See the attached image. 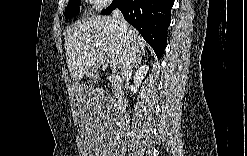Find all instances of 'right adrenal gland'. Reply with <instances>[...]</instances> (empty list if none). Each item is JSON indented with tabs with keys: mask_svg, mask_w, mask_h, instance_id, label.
<instances>
[{
	"mask_svg": "<svg viewBox=\"0 0 247 156\" xmlns=\"http://www.w3.org/2000/svg\"><path fill=\"white\" fill-rule=\"evenodd\" d=\"M142 55H145V53L143 52L142 54H139L136 61L133 63L132 67H137L139 64H141V60H142Z\"/></svg>",
	"mask_w": 247,
	"mask_h": 156,
	"instance_id": "right-adrenal-gland-1",
	"label": "right adrenal gland"
}]
</instances>
